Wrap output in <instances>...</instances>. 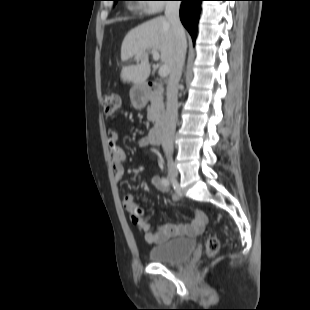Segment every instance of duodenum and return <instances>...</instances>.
Returning <instances> with one entry per match:
<instances>
[{
  "label": "duodenum",
  "instance_id": "obj_1",
  "mask_svg": "<svg viewBox=\"0 0 310 310\" xmlns=\"http://www.w3.org/2000/svg\"><path fill=\"white\" fill-rule=\"evenodd\" d=\"M163 87L156 81L149 80L145 83V92L149 95H161ZM165 121L160 120L158 124L150 131L149 140L152 145H160L163 138Z\"/></svg>",
  "mask_w": 310,
  "mask_h": 310
}]
</instances>
